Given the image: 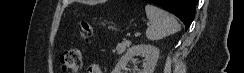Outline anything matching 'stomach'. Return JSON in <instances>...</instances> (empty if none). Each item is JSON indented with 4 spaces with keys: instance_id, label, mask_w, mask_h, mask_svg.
Here are the masks:
<instances>
[{
    "instance_id": "1",
    "label": "stomach",
    "mask_w": 244,
    "mask_h": 73,
    "mask_svg": "<svg viewBox=\"0 0 244 73\" xmlns=\"http://www.w3.org/2000/svg\"><path fill=\"white\" fill-rule=\"evenodd\" d=\"M108 28L112 30H118L115 25H108Z\"/></svg>"
}]
</instances>
